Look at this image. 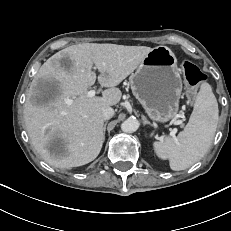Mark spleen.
I'll return each mask as SVG.
<instances>
[{"mask_svg": "<svg viewBox=\"0 0 231 231\" xmlns=\"http://www.w3.org/2000/svg\"><path fill=\"white\" fill-rule=\"evenodd\" d=\"M218 103L208 83L201 85L193 112L184 131L176 137L154 142L157 156L168 159L170 168L185 170L199 161L208 151L218 124Z\"/></svg>", "mask_w": 231, "mask_h": 231, "instance_id": "1", "label": "spleen"}]
</instances>
